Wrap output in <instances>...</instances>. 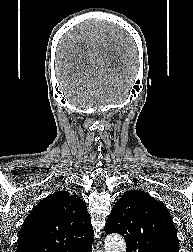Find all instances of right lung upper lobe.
Returning <instances> with one entry per match:
<instances>
[{"label":"right lung upper lobe","instance_id":"1","mask_svg":"<svg viewBox=\"0 0 193 252\" xmlns=\"http://www.w3.org/2000/svg\"><path fill=\"white\" fill-rule=\"evenodd\" d=\"M93 236L84 201L67 191L55 192L27 216L17 252H88Z\"/></svg>","mask_w":193,"mask_h":252}]
</instances>
